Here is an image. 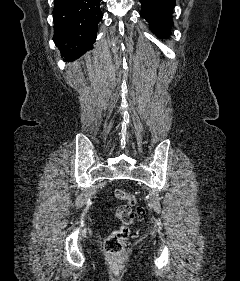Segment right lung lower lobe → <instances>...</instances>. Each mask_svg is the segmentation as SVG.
<instances>
[{
	"mask_svg": "<svg viewBox=\"0 0 240 281\" xmlns=\"http://www.w3.org/2000/svg\"><path fill=\"white\" fill-rule=\"evenodd\" d=\"M101 0H54V42L67 58L80 57L93 48L102 19Z\"/></svg>",
	"mask_w": 240,
	"mask_h": 281,
	"instance_id": "98d812e1",
	"label": "right lung lower lobe"
}]
</instances>
